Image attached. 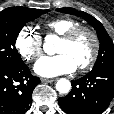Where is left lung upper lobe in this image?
Segmentation results:
<instances>
[{
  "label": "left lung upper lobe",
  "mask_w": 114,
  "mask_h": 114,
  "mask_svg": "<svg viewBox=\"0 0 114 114\" xmlns=\"http://www.w3.org/2000/svg\"><path fill=\"white\" fill-rule=\"evenodd\" d=\"M58 10L67 14L81 16L97 31V36L100 41V49L93 70L114 67V44L103 25L96 18L85 12H79L73 8H60Z\"/></svg>",
  "instance_id": "obj_1"
}]
</instances>
